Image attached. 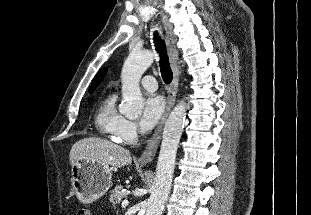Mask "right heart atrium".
Returning a JSON list of instances; mask_svg holds the SVG:
<instances>
[{
  "instance_id": "1",
  "label": "right heart atrium",
  "mask_w": 311,
  "mask_h": 215,
  "mask_svg": "<svg viewBox=\"0 0 311 215\" xmlns=\"http://www.w3.org/2000/svg\"><path fill=\"white\" fill-rule=\"evenodd\" d=\"M117 135L119 141L123 143L126 144L134 143L138 136L136 124L131 120L124 119L119 126Z\"/></svg>"
}]
</instances>
